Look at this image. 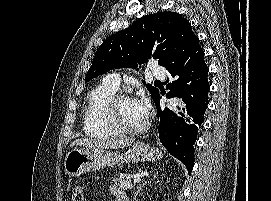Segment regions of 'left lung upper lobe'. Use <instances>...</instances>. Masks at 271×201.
Masks as SVG:
<instances>
[{
    "label": "left lung upper lobe",
    "mask_w": 271,
    "mask_h": 201,
    "mask_svg": "<svg viewBox=\"0 0 271 201\" xmlns=\"http://www.w3.org/2000/svg\"><path fill=\"white\" fill-rule=\"evenodd\" d=\"M197 37L190 23L176 12H160L136 20L130 27L108 37L98 48L85 82L114 68L133 67L149 58L166 67L177 45ZM155 42L159 43L156 50ZM144 84H146L143 81ZM152 97L158 89L146 84Z\"/></svg>",
    "instance_id": "left-lung-upper-lobe-1"
}]
</instances>
